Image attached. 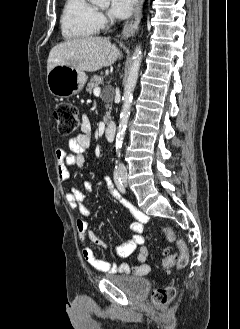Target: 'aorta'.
Listing matches in <instances>:
<instances>
[{
	"label": "aorta",
	"mask_w": 240,
	"mask_h": 329,
	"mask_svg": "<svg viewBox=\"0 0 240 329\" xmlns=\"http://www.w3.org/2000/svg\"><path fill=\"white\" fill-rule=\"evenodd\" d=\"M90 1L91 3L99 5L101 7H108L110 4V0H90ZM141 61H142V50L140 46H137L132 57V63L129 68L127 81L124 86V95H123L124 102L120 113V121L116 135V141H115L116 154L118 157L120 156V152L125 137V132L130 117L133 92L138 80Z\"/></svg>",
	"instance_id": "1"
}]
</instances>
